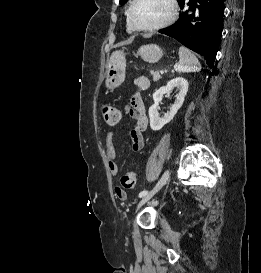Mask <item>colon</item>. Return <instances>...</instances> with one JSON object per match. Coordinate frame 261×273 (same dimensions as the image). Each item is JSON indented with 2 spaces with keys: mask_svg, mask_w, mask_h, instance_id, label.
Masks as SVG:
<instances>
[{
  "mask_svg": "<svg viewBox=\"0 0 261 273\" xmlns=\"http://www.w3.org/2000/svg\"><path fill=\"white\" fill-rule=\"evenodd\" d=\"M102 114L104 117L105 122L110 125L114 126L119 123L120 120V111L111 105H104L102 107ZM137 184V174L133 171H129L124 173L120 178V187L118 189L120 191L134 189Z\"/></svg>",
  "mask_w": 261,
  "mask_h": 273,
  "instance_id": "5ec220e1",
  "label": "colon"
}]
</instances>
